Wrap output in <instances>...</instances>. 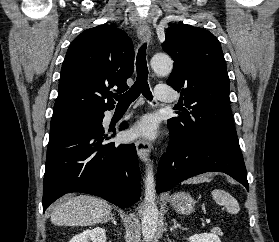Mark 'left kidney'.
<instances>
[{"mask_svg":"<svg viewBox=\"0 0 279 242\" xmlns=\"http://www.w3.org/2000/svg\"><path fill=\"white\" fill-rule=\"evenodd\" d=\"M189 242H221L215 233L195 234L189 237Z\"/></svg>","mask_w":279,"mask_h":242,"instance_id":"obj_1","label":"left kidney"}]
</instances>
